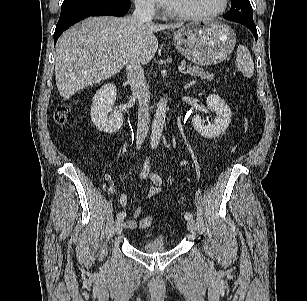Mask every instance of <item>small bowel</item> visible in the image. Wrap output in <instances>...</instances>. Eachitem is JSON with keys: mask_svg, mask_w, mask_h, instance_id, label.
I'll use <instances>...</instances> for the list:
<instances>
[{"mask_svg": "<svg viewBox=\"0 0 307 301\" xmlns=\"http://www.w3.org/2000/svg\"><path fill=\"white\" fill-rule=\"evenodd\" d=\"M143 178V176H142ZM144 179L148 180L150 183V187L145 194L146 198L155 197L162 190V180L159 174L156 173H145ZM118 202L122 206H127L129 203V198L127 195L122 194L118 197ZM142 209L140 207H136L133 211L134 219H128L125 221L124 225L128 229H134L136 227L135 218H138L141 215Z\"/></svg>", "mask_w": 307, "mask_h": 301, "instance_id": "small-bowel-1", "label": "small bowel"}]
</instances>
